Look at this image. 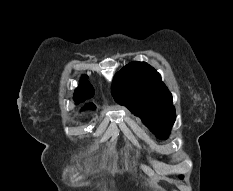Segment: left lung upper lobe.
Segmentation results:
<instances>
[{
  "label": "left lung upper lobe",
  "mask_w": 233,
  "mask_h": 191,
  "mask_svg": "<svg viewBox=\"0 0 233 191\" xmlns=\"http://www.w3.org/2000/svg\"><path fill=\"white\" fill-rule=\"evenodd\" d=\"M112 95L139 116L157 138L168 137L176 118L175 109L171 93L153 67L136 61L123 67L114 76Z\"/></svg>",
  "instance_id": "left-lung-upper-lobe-1"
}]
</instances>
